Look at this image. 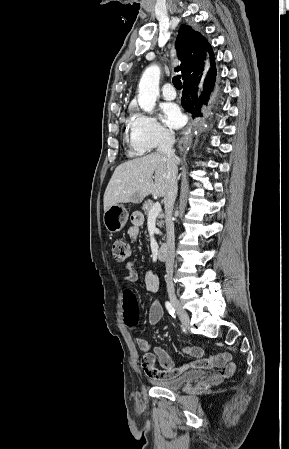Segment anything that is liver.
Masks as SVG:
<instances>
[{"label": "liver", "instance_id": "liver-1", "mask_svg": "<svg viewBox=\"0 0 289 449\" xmlns=\"http://www.w3.org/2000/svg\"><path fill=\"white\" fill-rule=\"evenodd\" d=\"M168 172L166 157L160 152L120 164L105 190L104 211L119 203H141L149 194L164 197L169 186Z\"/></svg>", "mask_w": 289, "mask_h": 449}]
</instances>
